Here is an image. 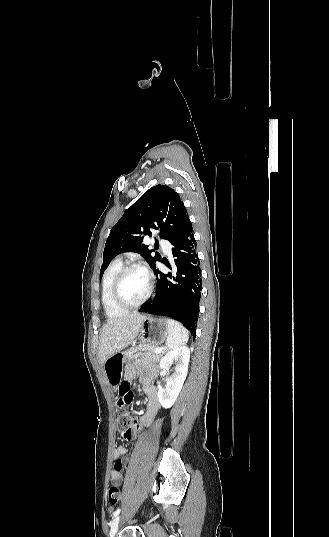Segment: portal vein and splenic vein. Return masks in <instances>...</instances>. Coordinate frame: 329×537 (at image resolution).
I'll return each instance as SVG.
<instances>
[{"instance_id": "1", "label": "portal vein and splenic vein", "mask_w": 329, "mask_h": 537, "mask_svg": "<svg viewBox=\"0 0 329 537\" xmlns=\"http://www.w3.org/2000/svg\"><path fill=\"white\" fill-rule=\"evenodd\" d=\"M155 351H156L157 353H160V352L162 351V349H161V348H156Z\"/></svg>"}]
</instances>
